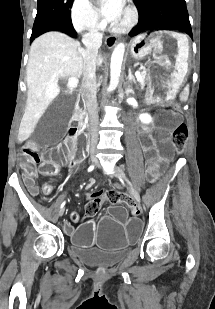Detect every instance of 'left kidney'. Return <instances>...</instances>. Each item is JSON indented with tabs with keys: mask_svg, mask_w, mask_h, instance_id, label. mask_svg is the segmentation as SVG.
Here are the masks:
<instances>
[{
	"mask_svg": "<svg viewBox=\"0 0 215 309\" xmlns=\"http://www.w3.org/2000/svg\"><path fill=\"white\" fill-rule=\"evenodd\" d=\"M139 118L141 122H152V116L148 112H142V114H139Z\"/></svg>",
	"mask_w": 215,
	"mask_h": 309,
	"instance_id": "obj_1",
	"label": "left kidney"
}]
</instances>
